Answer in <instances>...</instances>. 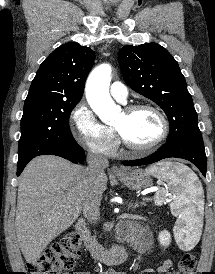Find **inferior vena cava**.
<instances>
[{"label": "inferior vena cava", "instance_id": "1", "mask_svg": "<svg viewBox=\"0 0 215 274\" xmlns=\"http://www.w3.org/2000/svg\"><path fill=\"white\" fill-rule=\"evenodd\" d=\"M88 189L83 205V214L90 223L95 224L100 219V205L102 200L101 178L108 166V159L97 153L87 155Z\"/></svg>", "mask_w": 215, "mask_h": 274}]
</instances>
